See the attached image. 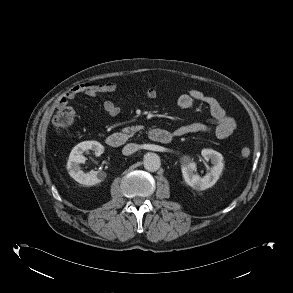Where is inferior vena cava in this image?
Returning <instances> with one entry per match:
<instances>
[{"label": "inferior vena cava", "instance_id": "obj_1", "mask_svg": "<svg viewBox=\"0 0 293 293\" xmlns=\"http://www.w3.org/2000/svg\"><path fill=\"white\" fill-rule=\"evenodd\" d=\"M139 146L135 143H129L127 145L124 146V148L122 149V153L123 155H131L134 152L138 151Z\"/></svg>", "mask_w": 293, "mask_h": 293}]
</instances>
